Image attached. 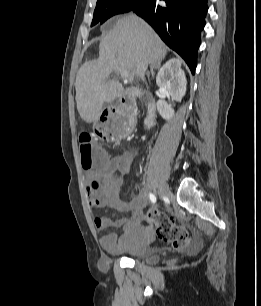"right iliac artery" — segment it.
Masks as SVG:
<instances>
[{"label":"right iliac artery","mask_w":261,"mask_h":306,"mask_svg":"<svg viewBox=\"0 0 261 306\" xmlns=\"http://www.w3.org/2000/svg\"><path fill=\"white\" fill-rule=\"evenodd\" d=\"M149 198H150V200H151L152 203H155V202H156V197H155L154 194L150 193V194H149Z\"/></svg>","instance_id":"obj_1"}]
</instances>
